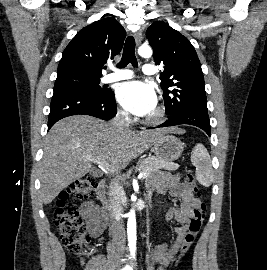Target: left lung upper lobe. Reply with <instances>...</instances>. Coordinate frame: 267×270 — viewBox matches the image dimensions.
<instances>
[{"instance_id":"obj_1","label":"left lung upper lobe","mask_w":267,"mask_h":270,"mask_svg":"<svg viewBox=\"0 0 267 270\" xmlns=\"http://www.w3.org/2000/svg\"><path fill=\"white\" fill-rule=\"evenodd\" d=\"M154 61L164 66L160 74L166 113L198 110L208 113L205 83L197 53L181 33L164 22L146 31ZM173 87V90H168Z\"/></svg>"}]
</instances>
